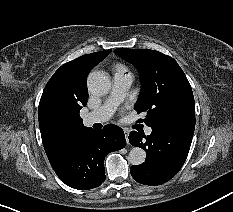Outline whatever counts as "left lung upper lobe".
I'll use <instances>...</instances> for the list:
<instances>
[{
	"instance_id": "5c2ea615",
	"label": "left lung upper lobe",
	"mask_w": 233,
	"mask_h": 212,
	"mask_svg": "<svg viewBox=\"0 0 233 212\" xmlns=\"http://www.w3.org/2000/svg\"><path fill=\"white\" fill-rule=\"evenodd\" d=\"M115 53L139 70L142 88L135 110L146 113V118L139 121L152 129L194 133L193 92L178 63L150 49L118 48Z\"/></svg>"
}]
</instances>
